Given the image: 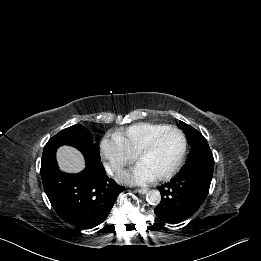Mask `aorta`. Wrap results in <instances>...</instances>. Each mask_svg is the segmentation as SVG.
I'll use <instances>...</instances> for the list:
<instances>
[{"instance_id": "762f6f07", "label": "aorta", "mask_w": 261, "mask_h": 261, "mask_svg": "<svg viewBox=\"0 0 261 261\" xmlns=\"http://www.w3.org/2000/svg\"><path fill=\"white\" fill-rule=\"evenodd\" d=\"M146 200L149 204H159L161 201V194L159 190L152 189L146 193Z\"/></svg>"}]
</instances>
